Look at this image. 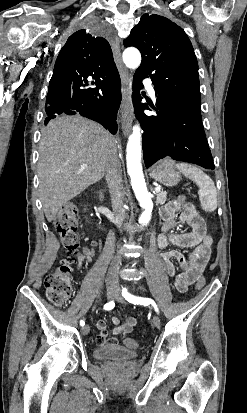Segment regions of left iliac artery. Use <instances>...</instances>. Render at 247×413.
Segmentation results:
<instances>
[{"label": "left iliac artery", "instance_id": "44dca946", "mask_svg": "<svg viewBox=\"0 0 247 413\" xmlns=\"http://www.w3.org/2000/svg\"><path fill=\"white\" fill-rule=\"evenodd\" d=\"M122 296H123L128 302L133 303V304H135V305H136V304H137V305L140 304V305H143V306H148L149 304H151V305L154 307L155 311H156L157 313L159 312V309H158L155 301L152 300V299H150V298H143V297H137V296L131 295V294L127 291L126 288H123V289H122Z\"/></svg>", "mask_w": 247, "mask_h": 413}]
</instances>
